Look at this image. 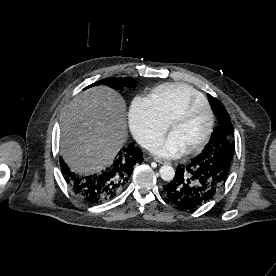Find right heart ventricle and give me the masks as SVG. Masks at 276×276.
<instances>
[{
  "mask_svg": "<svg viewBox=\"0 0 276 276\" xmlns=\"http://www.w3.org/2000/svg\"><path fill=\"white\" fill-rule=\"evenodd\" d=\"M159 114L170 122L172 117L192 100H206L190 85L179 82L164 83L154 88L149 96Z\"/></svg>",
  "mask_w": 276,
  "mask_h": 276,
  "instance_id": "right-heart-ventricle-1",
  "label": "right heart ventricle"
}]
</instances>
